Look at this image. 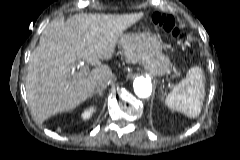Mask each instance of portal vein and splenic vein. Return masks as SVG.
I'll list each match as a JSON object with an SVG mask.
<instances>
[{
    "instance_id": "obj_1",
    "label": "portal vein and splenic vein",
    "mask_w": 240,
    "mask_h": 160,
    "mask_svg": "<svg viewBox=\"0 0 240 160\" xmlns=\"http://www.w3.org/2000/svg\"><path fill=\"white\" fill-rule=\"evenodd\" d=\"M91 63L95 65V64H99V61L95 59L94 61L92 60ZM88 72H89V68L87 66H83L82 69L79 71V76L87 75Z\"/></svg>"
}]
</instances>
